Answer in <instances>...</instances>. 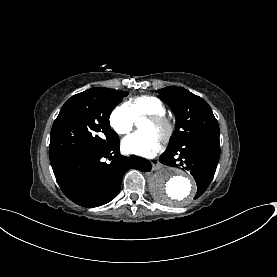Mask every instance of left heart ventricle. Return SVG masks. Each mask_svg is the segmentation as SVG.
I'll return each instance as SVG.
<instances>
[{
  "label": "left heart ventricle",
  "mask_w": 277,
  "mask_h": 277,
  "mask_svg": "<svg viewBox=\"0 0 277 277\" xmlns=\"http://www.w3.org/2000/svg\"><path fill=\"white\" fill-rule=\"evenodd\" d=\"M140 130L152 132L159 136L162 132V127L147 117L145 121L142 123V125L140 126Z\"/></svg>",
  "instance_id": "left-heart-ventricle-1"
}]
</instances>
